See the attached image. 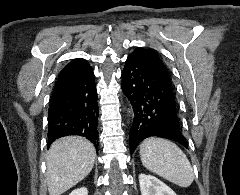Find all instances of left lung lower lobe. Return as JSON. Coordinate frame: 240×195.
Instances as JSON below:
<instances>
[{
	"label": "left lung lower lobe",
	"instance_id": "1",
	"mask_svg": "<svg viewBox=\"0 0 240 195\" xmlns=\"http://www.w3.org/2000/svg\"><path fill=\"white\" fill-rule=\"evenodd\" d=\"M122 90L135 114L129 131L131 153L151 136L171 139L187 148L180 130L171 77L158 63L129 55L122 72Z\"/></svg>",
	"mask_w": 240,
	"mask_h": 195
}]
</instances>
